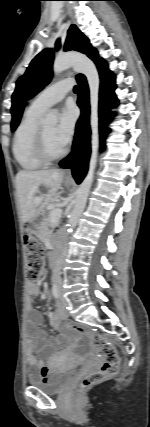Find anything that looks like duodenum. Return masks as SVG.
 <instances>
[{
	"mask_svg": "<svg viewBox=\"0 0 150 427\" xmlns=\"http://www.w3.org/2000/svg\"><path fill=\"white\" fill-rule=\"evenodd\" d=\"M56 261H57V254H56V253H53V254L50 256V266H51V267H54V266H55V264H56Z\"/></svg>",
	"mask_w": 150,
	"mask_h": 427,
	"instance_id": "obj_1",
	"label": "duodenum"
}]
</instances>
